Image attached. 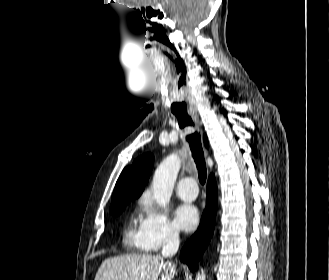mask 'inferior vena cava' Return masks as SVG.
<instances>
[{
    "mask_svg": "<svg viewBox=\"0 0 329 280\" xmlns=\"http://www.w3.org/2000/svg\"><path fill=\"white\" fill-rule=\"evenodd\" d=\"M179 243L180 240L178 232L175 230H170L167 234V238L163 242L162 256L168 258L175 255L178 251Z\"/></svg>",
    "mask_w": 329,
    "mask_h": 280,
    "instance_id": "inferior-vena-cava-1",
    "label": "inferior vena cava"
}]
</instances>
